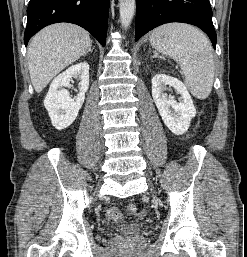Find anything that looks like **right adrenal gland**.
<instances>
[{
	"label": "right adrenal gland",
	"mask_w": 247,
	"mask_h": 257,
	"mask_svg": "<svg viewBox=\"0 0 247 257\" xmlns=\"http://www.w3.org/2000/svg\"><path fill=\"white\" fill-rule=\"evenodd\" d=\"M89 52H93V50L91 49V47L88 49V51L84 54V56H86Z\"/></svg>",
	"instance_id": "1"
}]
</instances>
